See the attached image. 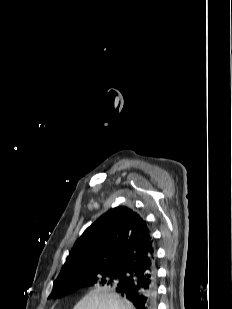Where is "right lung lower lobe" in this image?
<instances>
[{
  "label": "right lung lower lobe",
  "mask_w": 232,
  "mask_h": 309,
  "mask_svg": "<svg viewBox=\"0 0 232 309\" xmlns=\"http://www.w3.org/2000/svg\"><path fill=\"white\" fill-rule=\"evenodd\" d=\"M127 273L128 279L116 291L137 309H157L155 256L135 262Z\"/></svg>",
  "instance_id": "right-lung-lower-lobe-1"
}]
</instances>
